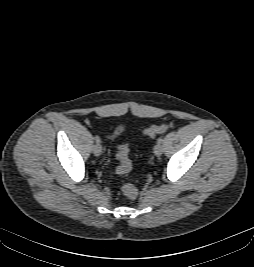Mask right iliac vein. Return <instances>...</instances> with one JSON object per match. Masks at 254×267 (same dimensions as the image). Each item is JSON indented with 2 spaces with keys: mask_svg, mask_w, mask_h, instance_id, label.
<instances>
[{
  "mask_svg": "<svg viewBox=\"0 0 254 267\" xmlns=\"http://www.w3.org/2000/svg\"><path fill=\"white\" fill-rule=\"evenodd\" d=\"M93 153L96 156L101 155V153H102V146H101V144L97 143V144L94 145V147H93Z\"/></svg>",
  "mask_w": 254,
  "mask_h": 267,
  "instance_id": "63e3f726",
  "label": "right iliac vein"
}]
</instances>
